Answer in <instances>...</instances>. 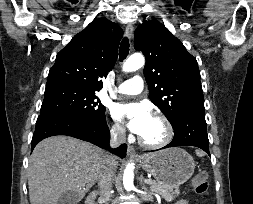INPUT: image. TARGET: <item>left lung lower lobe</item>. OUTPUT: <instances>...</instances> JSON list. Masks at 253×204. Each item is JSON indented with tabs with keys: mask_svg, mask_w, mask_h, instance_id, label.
Here are the masks:
<instances>
[{
	"mask_svg": "<svg viewBox=\"0 0 253 204\" xmlns=\"http://www.w3.org/2000/svg\"><path fill=\"white\" fill-rule=\"evenodd\" d=\"M205 109H194L183 114L173 125L174 138L164 148L175 146H196L209 153Z\"/></svg>",
	"mask_w": 253,
	"mask_h": 204,
	"instance_id": "obj_1",
	"label": "left lung lower lobe"
}]
</instances>
